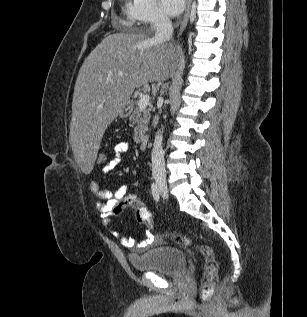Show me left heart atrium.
<instances>
[{"label": "left heart atrium", "instance_id": "obj_1", "mask_svg": "<svg viewBox=\"0 0 307 317\" xmlns=\"http://www.w3.org/2000/svg\"><path fill=\"white\" fill-rule=\"evenodd\" d=\"M161 10L168 16H177L184 9L185 0H160Z\"/></svg>", "mask_w": 307, "mask_h": 317}]
</instances>
